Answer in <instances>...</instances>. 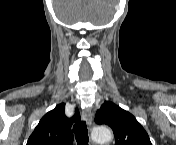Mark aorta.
I'll list each match as a JSON object with an SVG mask.
<instances>
[{
	"label": "aorta",
	"mask_w": 176,
	"mask_h": 145,
	"mask_svg": "<svg viewBox=\"0 0 176 145\" xmlns=\"http://www.w3.org/2000/svg\"><path fill=\"white\" fill-rule=\"evenodd\" d=\"M91 138L95 143L103 144L112 139V133L105 126H96L92 129Z\"/></svg>",
	"instance_id": "aorta-1"
}]
</instances>
